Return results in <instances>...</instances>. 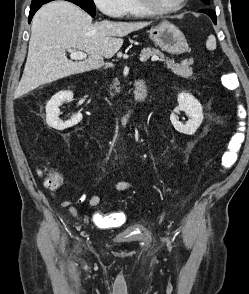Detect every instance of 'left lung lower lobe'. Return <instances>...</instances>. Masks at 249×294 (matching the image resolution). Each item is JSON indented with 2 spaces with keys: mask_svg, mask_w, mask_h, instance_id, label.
<instances>
[{
  "mask_svg": "<svg viewBox=\"0 0 249 294\" xmlns=\"http://www.w3.org/2000/svg\"><path fill=\"white\" fill-rule=\"evenodd\" d=\"M200 12L207 14L213 20L214 24H216V13L213 10L205 9Z\"/></svg>",
  "mask_w": 249,
  "mask_h": 294,
  "instance_id": "0a47b994",
  "label": "left lung lower lobe"
}]
</instances>
